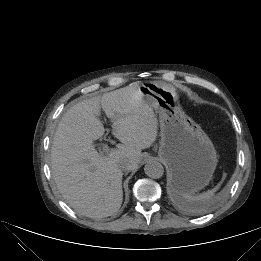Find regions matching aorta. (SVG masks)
Listing matches in <instances>:
<instances>
[{
    "label": "aorta",
    "instance_id": "1",
    "mask_svg": "<svg viewBox=\"0 0 261 261\" xmlns=\"http://www.w3.org/2000/svg\"><path fill=\"white\" fill-rule=\"evenodd\" d=\"M145 174L153 179H159L164 174V168L162 164L158 161L152 160L146 163L144 166Z\"/></svg>",
    "mask_w": 261,
    "mask_h": 261
}]
</instances>
